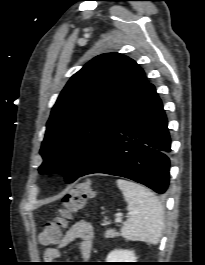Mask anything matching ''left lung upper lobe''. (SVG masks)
<instances>
[{
    "instance_id": "5c2ea615",
    "label": "left lung upper lobe",
    "mask_w": 205,
    "mask_h": 265,
    "mask_svg": "<svg viewBox=\"0 0 205 265\" xmlns=\"http://www.w3.org/2000/svg\"><path fill=\"white\" fill-rule=\"evenodd\" d=\"M148 82L131 58L102 54L74 74L47 122L40 173L61 170L75 181L144 94Z\"/></svg>"
}]
</instances>
